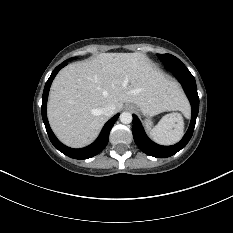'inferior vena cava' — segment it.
I'll return each mask as SVG.
<instances>
[{
  "instance_id": "1",
  "label": "inferior vena cava",
  "mask_w": 233,
  "mask_h": 233,
  "mask_svg": "<svg viewBox=\"0 0 233 233\" xmlns=\"http://www.w3.org/2000/svg\"><path fill=\"white\" fill-rule=\"evenodd\" d=\"M115 110H116V107L114 104H108L102 108V113L105 116L110 117L115 114Z\"/></svg>"
}]
</instances>
